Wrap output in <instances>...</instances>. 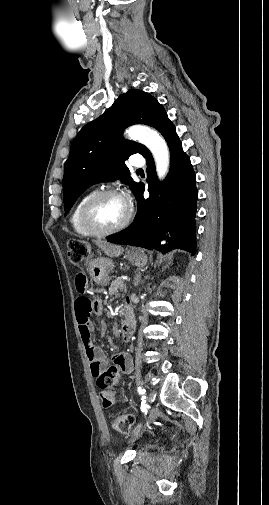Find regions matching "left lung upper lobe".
<instances>
[{"label":"left lung upper lobe","instance_id":"left-lung-upper-lobe-1","mask_svg":"<svg viewBox=\"0 0 269 505\" xmlns=\"http://www.w3.org/2000/svg\"><path fill=\"white\" fill-rule=\"evenodd\" d=\"M166 115L155 97L131 89L120 95L100 117L86 124L72 142L64 166L65 213L87 188L102 181L120 179L136 195L141 183L132 180L124 161L134 153L145 156L149 150L140 143L125 140L123 130L133 124L155 128Z\"/></svg>","mask_w":269,"mask_h":505}]
</instances>
